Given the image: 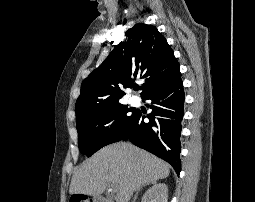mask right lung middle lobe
<instances>
[{
  "label": "right lung middle lobe",
  "instance_id": "obj_1",
  "mask_svg": "<svg viewBox=\"0 0 255 202\" xmlns=\"http://www.w3.org/2000/svg\"><path fill=\"white\" fill-rule=\"evenodd\" d=\"M121 103L103 107L76 119L79 150L88 157L105 145L120 141L131 128L137 111Z\"/></svg>",
  "mask_w": 255,
  "mask_h": 202
}]
</instances>
